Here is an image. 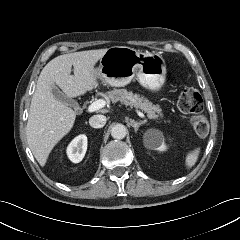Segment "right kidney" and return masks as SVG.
<instances>
[{"instance_id":"ca27d5eb","label":"right kidney","mask_w":240,"mask_h":240,"mask_svg":"<svg viewBox=\"0 0 240 240\" xmlns=\"http://www.w3.org/2000/svg\"><path fill=\"white\" fill-rule=\"evenodd\" d=\"M87 150L86 135H79L74 138L67 147V155L74 163H79L85 156Z\"/></svg>"}]
</instances>
